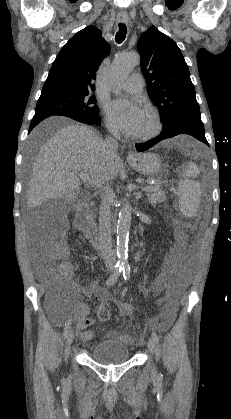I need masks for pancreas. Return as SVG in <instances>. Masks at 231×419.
Segmentation results:
<instances>
[{"label": "pancreas", "mask_w": 231, "mask_h": 419, "mask_svg": "<svg viewBox=\"0 0 231 419\" xmlns=\"http://www.w3.org/2000/svg\"><path fill=\"white\" fill-rule=\"evenodd\" d=\"M152 187H154V190L149 191L147 194L149 202L153 206H155L157 203H163L166 200V193L158 185Z\"/></svg>", "instance_id": "1"}]
</instances>
